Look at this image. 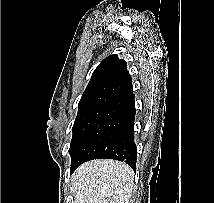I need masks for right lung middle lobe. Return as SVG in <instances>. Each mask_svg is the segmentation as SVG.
I'll list each match as a JSON object with an SVG mask.
<instances>
[{"label": "right lung middle lobe", "instance_id": "right-lung-middle-lobe-1", "mask_svg": "<svg viewBox=\"0 0 214 203\" xmlns=\"http://www.w3.org/2000/svg\"><path fill=\"white\" fill-rule=\"evenodd\" d=\"M113 101L114 99L109 97H90L80 100L78 114L73 125V136L69 149L70 155L93 123Z\"/></svg>", "mask_w": 214, "mask_h": 203}]
</instances>
